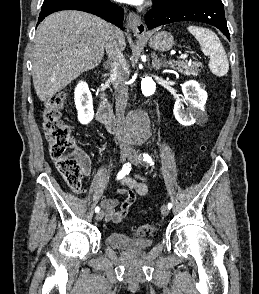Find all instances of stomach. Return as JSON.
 Returning a JSON list of instances; mask_svg holds the SVG:
<instances>
[{"instance_id":"obj_1","label":"stomach","mask_w":259,"mask_h":294,"mask_svg":"<svg viewBox=\"0 0 259 294\" xmlns=\"http://www.w3.org/2000/svg\"><path fill=\"white\" fill-rule=\"evenodd\" d=\"M149 43V46L156 51H169L174 46L173 36L165 31L157 32L153 35L137 36Z\"/></svg>"}]
</instances>
